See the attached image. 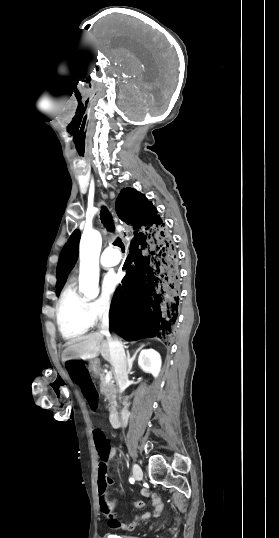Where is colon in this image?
Masks as SVG:
<instances>
[{
	"instance_id": "1",
	"label": "colon",
	"mask_w": 279,
	"mask_h": 538,
	"mask_svg": "<svg viewBox=\"0 0 279 538\" xmlns=\"http://www.w3.org/2000/svg\"><path fill=\"white\" fill-rule=\"evenodd\" d=\"M93 439L98 453V490L101 510L106 518L114 515L112 502L107 492V466L111 447L106 434L102 430H94Z\"/></svg>"
}]
</instances>
